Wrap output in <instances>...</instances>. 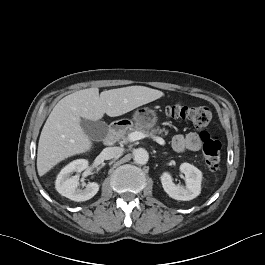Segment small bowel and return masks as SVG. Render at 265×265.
Listing matches in <instances>:
<instances>
[{"mask_svg":"<svg viewBox=\"0 0 265 265\" xmlns=\"http://www.w3.org/2000/svg\"><path fill=\"white\" fill-rule=\"evenodd\" d=\"M173 148L178 152L198 151L201 147V138L197 133L176 135L173 138Z\"/></svg>","mask_w":265,"mask_h":265,"instance_id":"c3829d8e","label":"small bowel"}]
</instances>
